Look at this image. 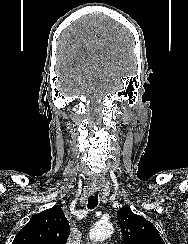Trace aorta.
I'll use <instances>...</instances> for the list:
<instances>
[{"instance_id": "obj_1", "label": "aorta", "mask_w": 188, "mask_h": 244, "mask_svg": "<svg viewBox=\"0 0 188 244\" xmlns=\"http://www.w3.org/2000/svg\"><path fill=\"white\" fill-rule=\"evenodd\" d=\"M113 226L108 222H98L90 229L89 237L92 241H103L111 236Z\"/></svg>"}]
</instances>
